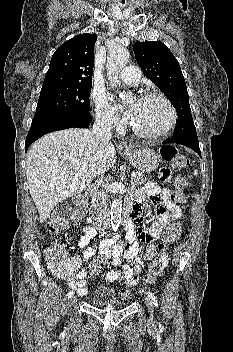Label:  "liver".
<instances>
[{"label": "liver", "instance_id": "obj_1", "mask_svg": "<svg viewBox=\"0 0 233 352\" xmlns=\"http://www.w3.org/2000/svg\"><path fill=\"white\" fill-rule=\"evenodd\" d=\"M115 162L114 145L97 141L88 129L56 131L32 144L27 153L26 176L40 223L59 202L80 194Z\"/></svg>", "mask_w": 233, "mask_h": 352}]
</instances>
